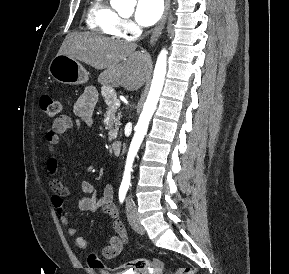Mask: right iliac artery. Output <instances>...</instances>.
I'll return each instance as SVG.
<instances>
[{
  "label": "right iliac artery",
  "instance_id": "obj_1",
  "mask_svg": "<svg viewBox=\"0 0 289 274\" xmlns=\"http://www.w3.org/2000/svg\"><path fill=\"white\" fill-rule=\"evenodd\" d=\"M126 192H127V189L126 188H120L119 189V201L120 203H123L124 199H125V196H126Z\"/></svg>",
  "mask_w": 289,
  "mask_h": 274
}]
</instances>
